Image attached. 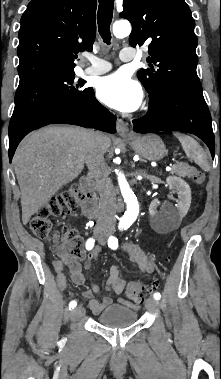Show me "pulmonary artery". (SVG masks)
<instances>
[{
  "label": "pulmonary artery",
  "mask_w": 221,
  "mask_h": 379,
  "mask_svg": "<svg viewBox=\"0 0 221 379\" xmlns=\"http://www.w3.org/2000/svg\"><path fill=\"white\" fill-rule=\"evenodd\" d=\"M120 60L123 62L130 61L135 57V51L131 48H124L120 52ZM90 66L85 69V73L89 75H101L111 69L110 63L96 56H88Z\"/></svg>",
  "instance_id": "1"
}]
</instances>
